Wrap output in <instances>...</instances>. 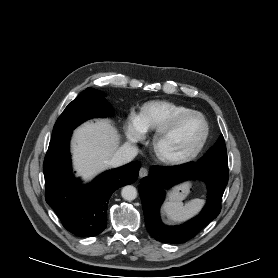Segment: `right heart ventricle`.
<instances>
[{
	"label": "right heart ventricle",
	"instance_id": "1",
	"mask_svg": "<svg viewBox=\"0 0 278 278\" xmlns=\"http://www.w3.org/2000/svg\"><path fill=\"white\" fill-rule=\"evenodd\" d=\"M192 109L164 100L146 102L137 114V120L143 132L158 131L167 126L180 114Z\"/></svg>",
	"mask_w": 278,
	"mask_h": 278
}]
</instances>
